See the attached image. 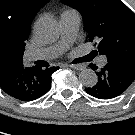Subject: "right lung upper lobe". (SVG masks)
Returning a JSON list of instances; mask_svg holds the SVG:
<instances>
[{
    "instance_id": "1",
    "label": "right lung upper lobe",
    "mask_w": 135,
    "mask_h": 135,
    "mask_svg": "<svg viewBox=\"0 0 135 135\" xmlns=\"http://www.w3.org/2000/svg\"><path fill=\"white\" fill-rule=\"evenodd\" d=\"M50 0H0V32L9 30L28 39L31 22L37 12ZM23 63L20 56L0 52V65Z\"/></svg>"
}]
</instances>
